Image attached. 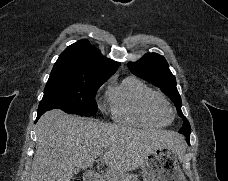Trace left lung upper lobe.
Segmentation results:
<instances>
[{
	"label": "left lung upper lobe",
	"instance_id": "1",
	"mask_svg": "<svg viewBox=\"0 0 228 181\" xmlns=\"http://www.w3.org/2000/svg\"><path fill=\"white\" fill-rule=\"evenodd\" d=\"M130 71L159 87L174 102L179 116L183 119L179 133L184 136L190 135V124L181 111V98L176 88V79L169 70L165 58L157 53H147L140 60L128 64Z\"/></svg>",
	"mask_w": 228,
	"mask_h": 181
}]
</instances>
